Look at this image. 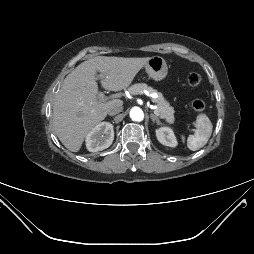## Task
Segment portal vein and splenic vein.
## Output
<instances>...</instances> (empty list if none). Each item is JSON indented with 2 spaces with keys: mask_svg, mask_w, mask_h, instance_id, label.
I'll use <instances>...</instances> for the list:
<instances>
[{
  "mask_svg": "<svg viewBox=\"0 0 254 254\" xmlns=\"http://www.w3.org/2000/svg\"><path fill=\"white\" fill-rule=\"evenodd\" d=\"M99 77L101 78L102 76L100 75ZM98 99H99L100 102L105 101L106 98H105V95H104L103 92H100V93L98 94ZM154 113H155L157 116L159 115V112L157 111V109H155Z\"/></svg>",
  "mask_w": 254,
  "mask_h": 254,
  "instance_id": "obj_1",
  "label": "portal vein and splenic vein"
}]
</instances>
